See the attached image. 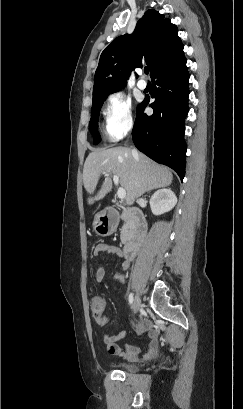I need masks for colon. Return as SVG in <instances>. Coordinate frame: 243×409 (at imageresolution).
<instances>
[{
  "mask_svg": "<svg viewBox=\"0 0 243 409\" xmlns=\"http://www.w3.org/2000/svg\"><path fill=\"white\" fill-rule=\"evenodd\" d=\"M103 299L100 296H94L91 299V308L95 312L96 310L102 309L103 308Z\"/></svg>",
  "mask_w": 243,
  "mask_h": 409,
  "instance_id": "obj_1",
  "label": "colon"
}]
</instances>
